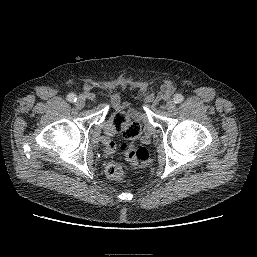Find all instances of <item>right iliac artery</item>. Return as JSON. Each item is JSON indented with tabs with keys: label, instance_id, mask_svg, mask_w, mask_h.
<instances>
[{
	"label": "right iliac artery",
	"instance_id": "1",
	"mask_svg": "<svg viewBox=\"0 0 257 257\" xmlns=\"http://www.w3.org/2000/svg\"><path fill=\"white\" fill-rule=\"evenodd\" d=\"M67 100L69 101V102H75L76 100H77V97H76V95L74 94V93H70L68 96H67Z\"/></svg>",
	"mask_w": 257,
	"mask_h": 257
}]
</instances>
